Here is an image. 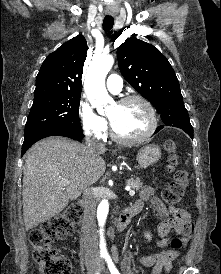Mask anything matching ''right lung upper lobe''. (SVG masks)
Listing matches in <instances>:
<instances>
[{
	"label": "right lung upper lobe",
	"instance_id": "right-lung-upper-lobe-1",
	"mask_svg": "<svg viewBox=\"0 0 221 274\" xmlns=\"http://www.w3.org/2000/svg\"><path fill=\"white\" fill-rule=\"evenodd\" d=\"M87 50L84 36L78 35L49 54L37 75L34 99L81 94Z\"/></svg>",
	"mask_w": 221,
	"mask_h": 274
}]
</instances>
